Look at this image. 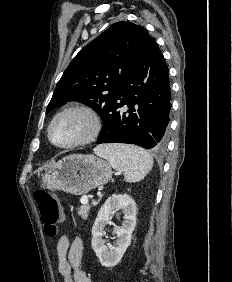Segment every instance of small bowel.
<instances>
[{
  "instance_id": "c3829d8e",
  "label": "small bowel",
  "mask_w": 232,
  "mask_h": 282,
  "mask_svg": "<svg viewBox=\"0 0 232 282\" xmlns=\"http://www.w3.org/2000/svg\"><path fill=\"white\" fill-rule=\"evenodd\" d=\"M58 271L64 282H92L81 269L83 258V241L80 237L62 235L56 246Z\"/></svg>"
}]
</instances>
